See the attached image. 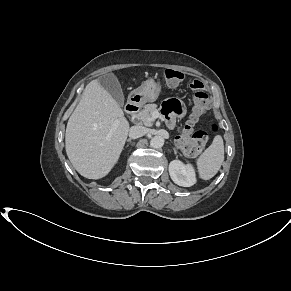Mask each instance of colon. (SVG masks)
I'll list each match as a JSON object with an SVG mask.
<instances>
[{
    "label": "colon",
    "instance_id": "1",
    "mask_svg": "<svg viewBox=\"0 0 291 291\" xmlns=\"http://www.w3.org/2000/svg\"><path fill=\"white\" fill-rule=\"evenodd\" d=\"M163 77L170 85L175 86L183 80L184 75L180 71L166 69L163 71ZM191 87L194 90V111L189 122L180 131L178 145L185 154L196 155L204 149L209 138V133H215L217 127L214 124H208L206 130H193V124L208 109L209 97L200 80H193Z\"/></svg>",
    "mask_w": 291,
    "mask_h": 291
}]
</instances>
